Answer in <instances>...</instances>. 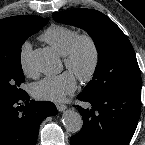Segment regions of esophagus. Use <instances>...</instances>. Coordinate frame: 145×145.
Here are the masks:
<instances>
[{
  "label": "esophagus",
  "mask_w": 145,
  "mask_h": 145,
  "mask_svg": "<svg viewBox=\"0 0 145 145\" xmlns=\"http://www.w3.org/2000/svg\"><path fill=\"white\" fill-rule=\"evenodd\" d=\"M56 107H57L58 111H60V112L64 111L67 108V106L65 104H61V103L56 104Z\"/></svg>",
  "instance_id": "34e87169"
}]
</instances>
